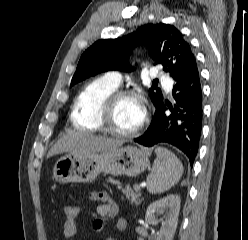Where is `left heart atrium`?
<instances>
[{
    "instance_id": "obj_1",
    "label": "left heart atrium",
    "mask_w": 248,
    "mask_h": 240,
    "mask_svg": "<svg viewBox=\"0 0 248 240\" xmlns=\"http://www.w3.org/2000/svg\"><path fill=\"white\" fill-rule=\"evenodd\" d=\"M144 116H145V111H144V108L141 106L140 107V110L138 112V115H137V122H138V124H140L143 121Z\"/></svg>"
}]
</instances>
